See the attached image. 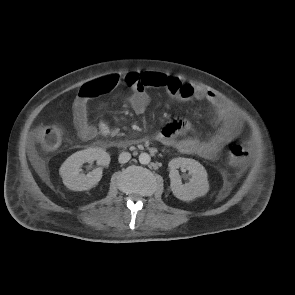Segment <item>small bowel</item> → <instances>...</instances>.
<instances>
[{"instance_id":"1","label":"small bowel","mask_w":295,"mask_h":295,"mask_svg":"<svg viewBox=\"0 0 295 295\" xmlns=\"http://www.w3.org/2000/svg\"><path fill=\"white\" fill-rule=\"evenodd\" d=\"M139 86L131 89L128 103L133 111L142 115L149 104L148 89L162 87L174 99L191 101L193 99L208 102L214 110L212 123L216 126L215 132L207 139L196 137H181L190 128V123L180 118L167 120L156 134L161 144L176 148L185 154H195L205 159H215L225 144L236 137L242 127L240 116L230 105L215 93L204 88L184 82L178 77H169L159 72H147L136 75ZM121 76H106L84 84L73 103V121L78 135L84 140H90L97 135L112 136L115 131L109 127L104 119L99 120L96 126L89 122L88 103L111 91L116 85L112 81Z\"/></svg>"}]
</instances>
